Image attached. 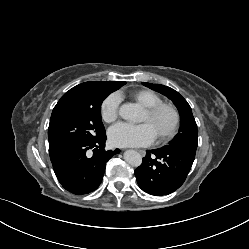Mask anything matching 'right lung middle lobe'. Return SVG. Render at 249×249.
<instances>
[{"mask_svg": "<svg viewBox=\"0 0 249 249\" xmlns=\"http://www.w3.org/2000/svg\"><path fill=\"white\" fill-rule=\"evenodd\" d=\"M112 91L90 89L79 99L57 112L48 129L49 150L55 152L65 146L86 143L105 134L101 119V104Z\"/></svg>", "mask_w": 249, "mask_h": 249, "instance_id": "1", "label": "right lung middle lobe"}]
</instances>
